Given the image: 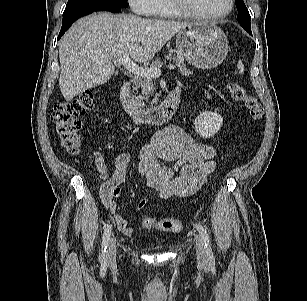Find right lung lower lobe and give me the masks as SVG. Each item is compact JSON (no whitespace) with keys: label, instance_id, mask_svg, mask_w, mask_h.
<instances>
[{"label":"right lung lower lobe","instance_id":"98d812e1","mask_svg":"<svg viewBox=\"0 0 307 301\" xmlns=\"http://www.w3.org/2000/svg\"><path fill=\"white\" fill-rule=\"evenodd\" d=\"M95 11H109V12L116 13V12H120L121 8H119V7H107V6L97 7V8L88 9V10H85V11H81V12L63 17L62 28H61V31L59 33L58 39H60L61 36L64 35V33L67 31V29L71 26V24L74 21H76L78 18H80L82 16L88 15V14L95 12Z\"/></svg>","mask_w":307,"mask_h":301}]
</instances>
